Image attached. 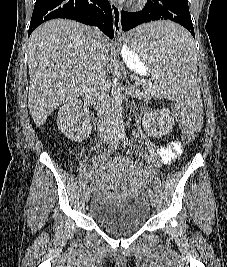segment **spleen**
<instances>
[{"label": "spleen", "mask_w": 227, "mask_h": 267, "mask_svg": "<svg viewBox=\"0 0 227 267\" xmlns=\"http://www.w3.org/2000/svg\"><path fill=\"white\" fill-rule=\"evenodd\" d=\"M126 47L137 51L141 63H157L162 76L150 72L153 81H161L165 95L188 106H177L180 115H202L197 81L195 38L174 19H152L131 27L124 38ZM189 129H202L205 116H184Z\"/></svg>", "instance_id": "spleen-1"}]
</instances>
